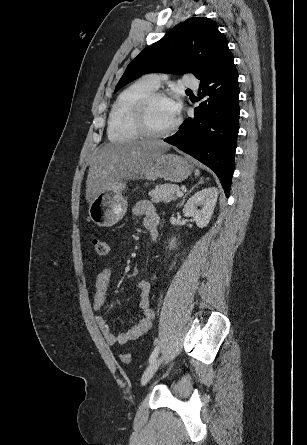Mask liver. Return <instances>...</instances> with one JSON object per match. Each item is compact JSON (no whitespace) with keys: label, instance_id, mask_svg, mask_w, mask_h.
<instances>
[{"label":"liver","instance_id":"obj_1","mask_svg":"<svg viewBox=\"0 0 307 445\" xmlns=\"http://www.w3.org/2000/svg\"><path fill=\"white\" fill-rule=\"evenodd\" d=\"M163 140H130L124 144H105L97 150L86 180V200L92 202L117 180L136 178L152 166L157 156L169 150Z\"/></svg>","mask_w":307,"mask_h":445}]
</instances>
